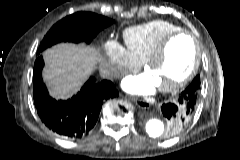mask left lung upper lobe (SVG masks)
<instances>
[{
    "mask_svg": "<svg viewBox=\"0 0 240 160\" xmlns=\"http://www.w3.org/2000/svg\"><path fill=\"white\" fill-rule=\"evenodd\" d=\"M191 85H194L195 86V89L196 91H199L200 90V78L199 76H196L195 79L192 81ZM188 120V118H187ZM191 120V119H190ZM189 121V120H188ZM170 123V128H172L173 130H177V131H180L182 130L188 123H182V124H179V125H174V122L172 121H169Z\"/></svg>",
    "mask_w": 240,
    "mask_h": 160,
    "instance_id": "1",
    "label": "left lung upper lobe"
}]
</instances>
